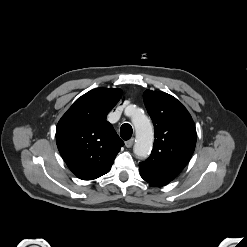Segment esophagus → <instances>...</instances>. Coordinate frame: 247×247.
Segmentation results:
<instances>
[{
    "label": "esophagus",
    "instance_id": "esophagus-1",
    "mask_svg": "<svg viewBox=\"0 0 247 247\" xmlns=\"http://www.w3.org/2000/svg\"><path fill=\"white\" fill-rule=\"evenodd\" d=\"M133 144H134V139L133 138L128 140V141H125V146L127 148H131L133 146Z\"/></svg>",
    "mask_w": 247,
    "mask_h": 247
}]
</instances>
